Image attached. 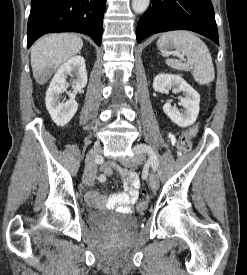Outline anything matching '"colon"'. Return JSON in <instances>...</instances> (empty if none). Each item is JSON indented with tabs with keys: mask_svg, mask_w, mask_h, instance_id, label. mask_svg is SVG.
Here are the masks:
<instances>
[{
	"mask_svg": "<svg viewBox=\"0 0 247 275\" xmlns=\"http://www.w3.org/2000/svg\"><path fill=\"white\" fill-rule=\"evenodd\" d=\"M197 134H198L197 127H192L182 133V135L180 136V138L178 140V144H177L179 153H187L191 150L192 139L194 137H196ZM148 199H149V196H148L147 191L143 190L140 194V202L138 205L139 210H143L147 206Z\"/></svg>",
	"mask_w": 247,
	"mask_h": 275,
	"instance_id": "obj_1",
	"label": "colon"
}]
</instances>
